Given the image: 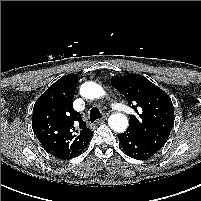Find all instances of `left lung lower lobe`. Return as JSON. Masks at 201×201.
Here are the masks:
<instances>
[{
  "label": "left lung lower lobe",
  "instance_id": "obj_1",
  "mask_svg": "<svg viewBox=\"0 0 201 201\" xmlns=\"http://www.w3.org/2000/svg\"><path fill=\"white\" fill-rule=\"evenodd\" d=\"M118 138L127 155L135 159H148L160 150L130 129L119 134Z\"/></svg>",
  "mask_w": 201,
  "mask_h": 201
}]
</instances>
